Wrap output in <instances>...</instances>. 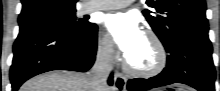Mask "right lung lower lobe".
<instances>
[{
  "mask_svg": "<svg viewBox=\"0 0 220 91\" xmlns=\"http://www.w3.org/2000/svg\"><path fill=\"white\" fill-rule=\"evenodd\" d=\"M96 50L97 28L78 37L46 24L20 25L10 70L12 91H17L23 82L43 72H85L92 67ZM108 83L112 85V75Z\"/></svg>",
  "mask_w": 220,
  "mask_h": 91,
  "instance_id": "obj_1",
  "label": "right lung lower lobe"
}]
</instances>
